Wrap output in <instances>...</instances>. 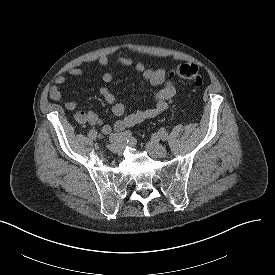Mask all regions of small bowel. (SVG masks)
<instances>
[{
	"instance_id": "1",
	"label": "small bowel",
	"mask_w": 275,
	"mask_h": 275,
	"mask_svg": "<svg viewBox=\"0 0 275 275\" xmlns=\"http://www.w3.org/2000/svg\"><path fill=\"white\" fill-rule=\"evenodd\" d=\"M111 61L120 66H131L133 59L129 57H115L110 58L107 56H100L96 62L98 65L105 67ZM135 70L141 74L145 86H161V88L154 94L153 106L140 110L128 115H124L126 112V105L117 101L116 96L106 86H102L99 89L100 94L106 103L111 105V112L113 115L120 117L113 125L104 123L99 116L93 111L79 110L75 113L74 119L80 125H96L100 127L101 131L105 135H109L112 131L122 132L127 128L138 125L144 121L153 119L168 108L169 101L176 95L177 86L176 83L167 77V71L165 68L152 69L146 67L142 62L135 64ZM84 71L79 67L70 68L66 71V75L79 77L82 76ZM102 79L105 83H110L113 80L111 73L106 72L102 75ZM65 75H59L55 78V85L49 90V96L52 100L60 102L67 110H75L77 103L72 100H66L62 94L59 86L66 82Z\"/></svg>"
}]
</instances>
